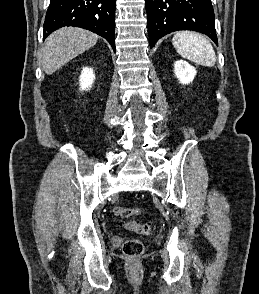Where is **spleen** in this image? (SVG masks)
Here are the masks:
<instances>
[{
  "instance_id": "3e777b00",
  "label": "spleen",
  "mask_w": 259,
  "mask_h": 294,
  "mask_svg": "<svg viewBox=\"0 0 259 294\" xmlns=\"http://www.w3.org/2000/svg\"><path fill=\"white\" fill-rule=\"evenodd\" d=\"M172 44L182 57L190 61L207 67L215 65L216 56L212 45L198 33L177 32L172 39Z\"/></svg>"
}]
</instances>
